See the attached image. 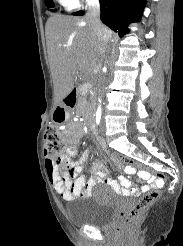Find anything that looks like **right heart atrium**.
Listing matches in <instances>:
<instances>
[{"label": "right heart atrium", "instance_id": "d8ad5b80", "mask_svg": "<svg viewBox=\"0 0 183 246\" xmlns=\"http://www.w3.org/2000/svg\"><path fill=\"white\" fill-rule=\"evenodd\" d=\"M70 8H78L82 2H90L92 0H65Z\"/></svg>", "mask_w": 183, "mask_h": 246}]
</instances>
